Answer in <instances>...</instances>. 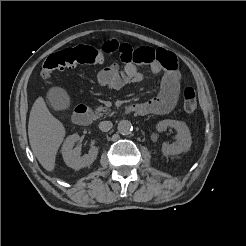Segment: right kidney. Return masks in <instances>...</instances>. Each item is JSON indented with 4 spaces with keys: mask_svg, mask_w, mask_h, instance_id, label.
<instances>
[{
    "mask_svg": "<svg viewBox=\"0 0 246 246\" xmlns=\"http://www.w3.org/2000/svg\"><path fill=\"white\" fill-rule=\"evenodd\" d=\"M79 139L78 134L70 135L62 146V156L66 165L75 170L91 165L98 155V147L92 146L88 154L80 156L81 146L77 145L74 148L75 143L78 142Z\"/></svg>",
    "mask_w": 246,
    "mask_h": 246,
    "instance_id": "obj_1",
    "label": "right kidney"
}]
</instances>
